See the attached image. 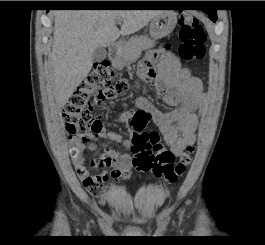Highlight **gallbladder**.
I'll list each match as a JSON object with an SVG mask.
<instances>
[{
  "label": "gallbladder",
  "instance_id": "gallbladder-1",
  "mask_svg": "<svg viewBox=\"0 0 265 245\" xmlns=\"http://www.w3.org/2000/svg\"><path fill=\"white\" fill-rule=\"evenodd\" d=\"M107 56V51L103 47H97L93 53V62H100Z\"/></svg>",
  "mask_w": 265,
  "mask_h": 245
}]
</instances>
